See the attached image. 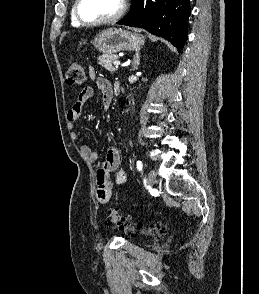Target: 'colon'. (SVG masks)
I'll return each instance as SVG.
<instances>
[{"instance_id": "1", "label": "colon", "mask_w": 259, "mask_h": 294, "mask_svg": "<svg viewBox=\"0 0 259 294\" xmlns=\"http://www.w3.org/2000/svg\"><path fill=\"white\" fill-rule=\"evenodd\" d=\"M86 80V74L82 64L77 60L70 61L66 73H65V81L68 85H81ZM106 224L116 226L119 230L125 232H132L135 230H140L142 227L131 224V222L124 218L120 209L118 207H114L109 210L106 217ZM149 231L151 232H162V228L160 226H152Z\"/></svg>"}]
</instances>
